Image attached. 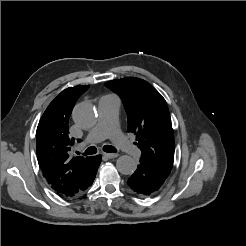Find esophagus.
I'll return each instance as SVG.
<instances>
[{
    "instance_id": "1",
    "label": "esophagus",
    "mask_w": 246,
    "mask_h": 246,
    "mask_svg": "<svg viewBox=\"0 0 246 246\" xmlns=\"http://www.w3.org/2000/svg\"><path fill=\"white\" fill-rule=\"evenodd\" d=\"M103 156L108 159H113V158L118 157V154L117 153H104Z\"/></svg>"
}]
</instances>
